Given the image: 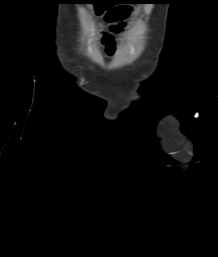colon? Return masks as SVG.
I'll return each mask as SVG.
<instances>
[{
    "label": "colon",
    "instance_id": "colon-1",
    "mask_svg": "<svg viewBox=\"0 0 218 257\" xmlns=\"http://www.w3.org/2000/svg\"><path fill=\"white\" fill-rule=\"evenodd\" d=\"M88 10H109L106 20L110 24L119 23L117 28L120 30L127 16L125 10H144V5H88Z\"/></svg>",
    "mask_w": 218,
    "mask_h": 257
}]
</instances>
